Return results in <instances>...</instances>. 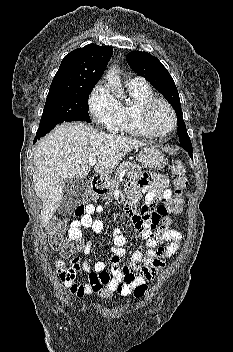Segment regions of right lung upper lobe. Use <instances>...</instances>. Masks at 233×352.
I'll use <instances>...</instances> for the list:
<instances>
[{"mask_svg": "<svg viewBox=\"0 0 233 352\" xmlns=\"http://www.w3.org/2000/svg\"><path fill=\"white\" fill-rule=\"evenodd\" d=\"M112 54V47L96 44L73 50L63 58L50 89H76L95 85Z\"/></svg>", "mask_w": 233, "mask_h": 352, "instance_id": "cb5924a9", "label": "right lung upper lobe"}]
</instances>
